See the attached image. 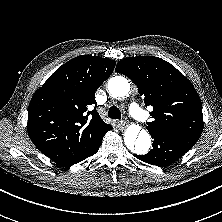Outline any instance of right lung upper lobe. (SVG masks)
Wrapping results in <instances>:
<instances>
[{
  "label": "right lung upper lobe",
  "instance_id": "1",
  "mask_svg": "<svg viewBox=\"0 0 222 222\" xmlns=\"http://www.w3.org/2000/svg\"><path fill=\"white\" fill-rule=\"evenodd\" d=\"M116 62L81 55L58 68L33 95L28 109V134L34 145L56 163L76 160L99 142L112 126L98 112L95 91L108 79Z\"/></svg>",
  "mask_w": 222,
  "mask_h": 222
}]
</instances>
